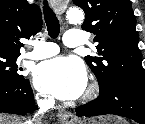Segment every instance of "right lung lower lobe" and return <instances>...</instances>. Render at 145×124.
<instances>
[{"label":"right lung lower lobe","mask_w":145,"mask_h":124,"mask_svg":"<svg viewBox=\"0 0 145 124\" xmlns=\"http://www.w3.org/2000/svg\"><path fill=\"white\" fill-rule=\"evenodd\" d=\"M36 108L28 79L0 76V113L25 115Z\"/></svg>","instance_id":"obj_1"}]
</instances>
